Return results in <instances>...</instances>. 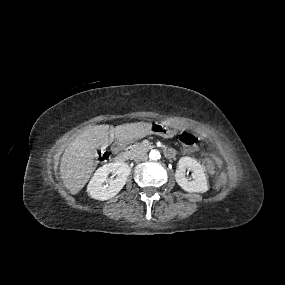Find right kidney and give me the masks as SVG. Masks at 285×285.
Returning <instances> with one entry per match:
<instances>
[{"label":"right kidney","mask_w":285,"mask_h":285,"mask_svg":"<svg viewBox=\"0 0 285 285\" xmlns=\"http://www.w3.org/2000/svg\"><path fill=\"white\" fill-rule=\"evenodd\" d=\"M130 172V167L123 162L105 164L94 173L87 186V192L94 199L108 200L123 188ZM110 173L117 175L116 178L109 179Z\"/></svg>","instance_id":"1"}]
</instances>
